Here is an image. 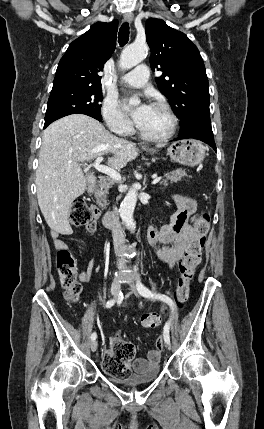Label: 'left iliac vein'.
<instances>
[{
  "label": "left iliac vein",
  "mask_w": 264,
  "mask_h": 429,
  "mask_svg": "<svg viewBox=\"0 0 264 429\" xmlns=\"http://www.w3.org/2000/svg\"><path fill=\"white\" fill-rule=\"evenodd\" d=\"M128 286H129L130 290H131V291H132L136 296H139V294H138V292H137V290H136V286H135V284H134V282L132 281V279H131V278H129ZM166 346H167V348H168V349H170V348H171L170 343H166Z\"/></svg>",
  "instance_id": "left-iliac-vein-1"
}]
</instances>
